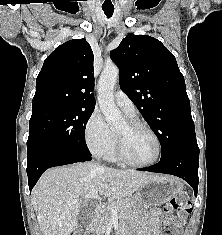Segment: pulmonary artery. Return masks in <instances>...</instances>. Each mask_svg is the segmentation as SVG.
I'll list each match as a JSON object with an SVG mask.
<instances>
[{
  "label": "pulmonary artery",
  "mask_w": 222,
  "mask_h": 235,
  "mask_svg": "<svg viewBox=\"0 0 222 235\" xmlns=\"http://www.w3.org/2000/svg\"><path fill=\"white\" fill-rule=\"evenodd\" d=\"M114 100L116 105L123 110L129 116H135L136 110L133 102L130 98L121 90H118L114 94Z\"/></svg>",
  "instance_id": "1"
}]
</instances>
